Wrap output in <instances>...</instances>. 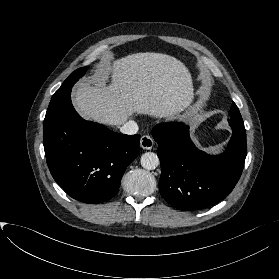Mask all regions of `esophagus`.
Returning a JSON list of instances; mask_svg holds the SVG:
<instances>
[{"label": "esophagus", "instance_id": "34e87169", "mask_svg": "<svg viewBox=\"0 0 279 279\" xmlns=\"http://www.w3.org/2000/svg\"><path fill=\"white\" fill-rule=\"evenodd\" d=\"M154 145L153 139L149 135H143L140 139V146L145 150L152 149Z\"/></svg>", "mask_w": 279, "mask_h": 279}]
</instances>
